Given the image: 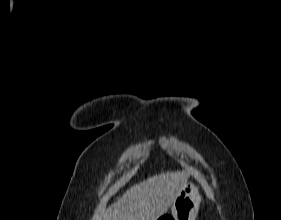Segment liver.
<instances>
[{
  "instance_id": "1",
  "label": "liver",
  "mask_w": 281,
  "mask_h": 220,
  "mask_svg": "<svg viewBox=\"0 0 281 220\" xmlns=\"http://www.w3.org/2000/svg\"><path fill=\"white\" fill-rule=\"evenodd\" d=\"M186 171L160 173L129 188L108 209H100L92 220H157L173 204L187 184Z\"/></svg>"
}]
</instances>
